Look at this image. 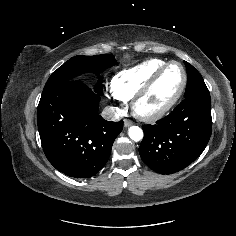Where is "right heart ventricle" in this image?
<instances>
[{"label":"right heart ventricle","instance_id":"e07e8e85","mask_svg":"<svg viewBox=\"0 0 236 236\" xmlns=\"http://www.w3.org/2000/svg\"><path fill=\"white\" fill-rule=\"evenodd\" d=\"M165 63L166 61L161 59H150L120 71L111 82L114 97L124 102L130 101L148 79Z\"/></svg>","mask_w":236,"mask_h":236}]
</instances>
